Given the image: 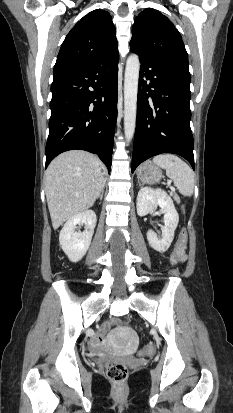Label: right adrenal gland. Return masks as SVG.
<instances>
[{
	"label": "right adrenal gland",
	"instance_id": "right-adrenal-gland-1",
	"mask_svg": "<svg viewBox=\"0 0 233 413\" xmlns=\"http://www.w3.org/2000/svg\"><path fill=\"white\" fill-rule=\"evenodd\" d=\"M103 193H104V189L101 191V193L98 195V198L100 199V201L102 200V198H103Z\"/></svg>",
	"mask_w": 233,
	"mask_h": 413
}]
</instances>
